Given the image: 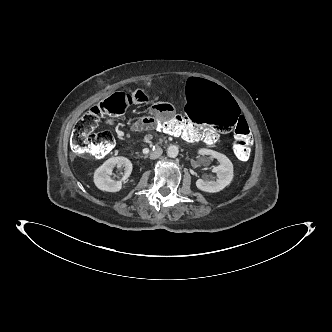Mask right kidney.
<instances>
[{"label": "right kidney", "mask_w": 332, "mask_h": 332, "mask_svg": "<svg viewBox=\"0 0 332 332\" xmlns=\"http://www.w3.org/2000/svg\"><path fill=\"white\" fill-rule=\"evenodd\" d=\"M115 167H124L122 180H126L131 175L132 163L128 158L122 156L109 158L94 172L93 181L99 190L106 192H118L121 190L122 182L111 178Z\"/></svg>", "instance_id": "1"}]
</instances>
